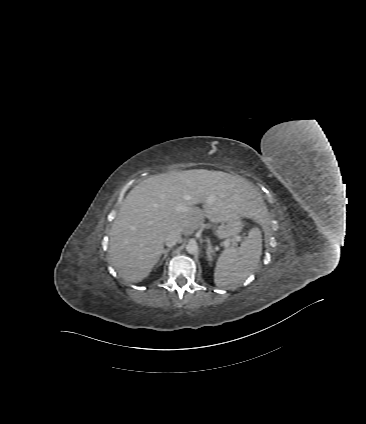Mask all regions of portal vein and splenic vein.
I'll use <instances>...</instances> for the list:
<instances>
[{
  "label": "portal vein and splenic vein",
  "mask_w": 366,
  "mask_h": 424,
  "mask_svg": "<svg viewBox=\"0 0 366 424\" xmlns=\"http://www.w3.org/2000/svg\"><path fill=\"white\" fill-rule=\"evenodd\" d=\"M181 208H177V210H180ZM235 240L236 241H240V238L239 237H235ZM224 245L226 246V247H228L229 246V242H225L224 243Z\"/></svg>",
  "instance_id": "portal-vein-and-splenic-vein-1"
}]
</instances>
